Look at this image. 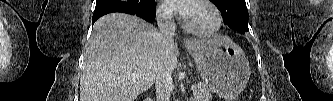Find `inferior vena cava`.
Listing matches in <instances>:
<instances>
[{
    "mask_svg": "<svg viewBox=\"0 0 333 101\" xmlns=\"http://www.w3.org/2000/svg\"><path fill=\"white\" fill-rule=\"evenodd\" d=\"M157 24L159 28L160 45L162 55L168 56L170 49L174 46L173 36L175 33V23L171 12L161 10L157 13ZM172 83L171 71H160L156 79V101H170Z\"/></svg>",
    "mask_w": 333,
    "mask_h": 101,
    "instance_id": "obj_1",
    "label": "inferior vena cava"
}]
</instances>
